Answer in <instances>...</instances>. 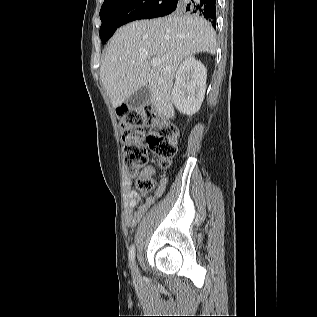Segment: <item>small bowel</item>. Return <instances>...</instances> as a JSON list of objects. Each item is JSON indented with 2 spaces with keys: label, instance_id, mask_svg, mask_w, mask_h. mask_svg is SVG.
I'll list each match as a JSON object with an SVG mask.
<instances>
[{
  "label": "small bowel",
  "instance_id": "1",
  "mask_svg": "<svg viewBox=\"0 0 317 317\" xmlns=\"http://www.w3.org/2000/svg\"><path fill=\"white\" fill-rule=\"evenodd\" d=\"M152 174L150 169L144 172V177L149 178ZM166 180H163L158 194L160 195L165 188ZM127 205L125 212V223L128 227H134L142 219L150 206L154 203V198L150 197L145 202L141 203L140 195L129 189L127 191Z\"/></svg>",
  "mask_w": 317,
  "mask_h": 317
}]
</instances>
